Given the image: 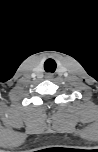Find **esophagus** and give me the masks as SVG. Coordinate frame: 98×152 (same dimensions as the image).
I'll use <instances>...</instances> for the list:
<instances>
[{"instance_id": "obj_1", "label": "esophagus", "mask_w": 98, "mask_h": 152, "mask_svg": "<svg viewBox=\"0 0 98 152\" xmlns=\"http://www.w3.org/2000/svg\"><path fill=\"white\" fill-rule=\"evenodd\" d=\"M46 78H47V79H51V78H52V74H51V73H47V74H46Z\"/></svg>"}]
</instances>
